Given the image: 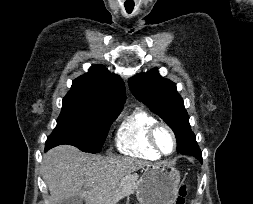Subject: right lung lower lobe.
I'll list each match as a JSON object with an SVG mask.
<instances>
[{
	"instance_id": "98d812e1",
	"label": "right lung lower lobe",
	"mask_w": 253,
	"mask_h": 204,
	"mask_svg": "<svg viewBox=\"0 0 253 204\" xmlns=\"http://www.w3.org/2000/svg\"><path fill=\"white\" fill-rule=\"evenodd\" d=\"M48 149H50L48 146L45 147V151H47Z\"/></svg>"
}]
</instances>
